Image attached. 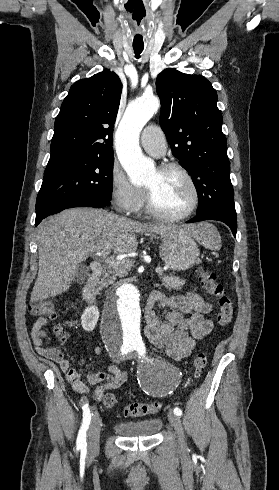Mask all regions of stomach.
<instances>
[{
  "mask_svg": "<svg viewBox=\"0 0 279 490\" xmlns=\"http://www.w3.org/2000/svg\"><path fill=\"white\" fill-rule=\"evenodd\" d=\"M160 258L165 266L175 272H186L200 264L198 246L187 234H160Z\"/></svg>",
  "mask_w": 279,
  "mask_h": 490,
  "instance_id": "0dacf381",
  "label": "stomach"
}]
</instances>
